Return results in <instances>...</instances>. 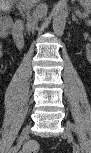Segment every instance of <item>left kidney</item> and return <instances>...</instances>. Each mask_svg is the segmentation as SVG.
Returning <instances> with one entry per match:
<instances>
[{
	"mask_svg": "<svg viewBox=\"0 0 91 153\" xmlns=\"http://www.w3.org/2000/svg\"><path fill=\"white\" fill-rule=\"evenodd\" d=\"M89 57H90V52L87 51V58L89 59Z\"/></svg>",
	"mask_w": 91,
	"mask_h": 153,
	"instance_id": "obj_1",
	"label": "left kidney"
}]
</instances>
